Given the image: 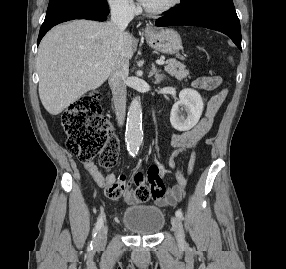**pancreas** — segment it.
Instances as JSON below:
<instances>
[{
	"label": "pancreas",
	"mask_w": 286,
	"mask_h": 269,
	"mask_svg": "<svg viewBox=\"0 0 286 269\" xmlns=\"http://www.w3.org/2000/svg\"><path fill=\"white\" fill-rule=\"evenodd\" d=\"M164 70L171 76L178 80H183L189 77V71L185 69V66L175 59H168L165 62Z\"/></svg>",
	"instance_id": "cf45deb5"
}]
</instances>
